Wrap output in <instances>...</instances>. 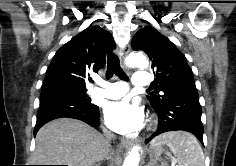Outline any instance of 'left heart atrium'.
Instances as JSON below:
<instances>
[{"instance_id":"obj_1","label":"left heart atrium","mask_w":236,"mask_h":166,"mask_svg":"<svg viewBox=\"0 0 236 166\" xmlns=\"http://www.w3.org/2000/svg\"><path fill=\"white\" fill-rule=\"evenodd\" d=\"M107 126L120 134H131L144 125L142 107L129 99L108 103L104 109Z\"/></svg>"}]
</instances>
